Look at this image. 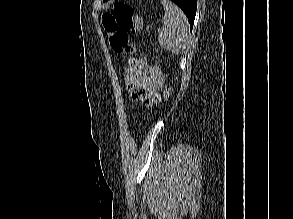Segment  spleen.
I'll return each mask as SVG.
<instances>
[{"instance_id":"1","label":"spleen","mask_w":293,"mask_h":219,"mask_svg":"<svg viewBox=\"0 0 293 219\" xmlns=\"http://www.w3.org/2000/svg\"><path fill=\"white\" fill-rule=\"evenodd\" d=\"M165 14L158 41L162 48L181 54L188 43L189 22L183 11L169 0H161Z\"/></svg>"}]
</instances>
